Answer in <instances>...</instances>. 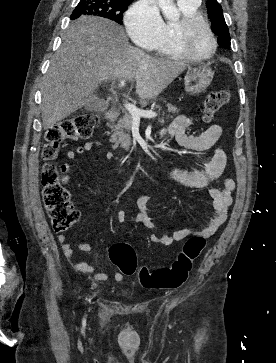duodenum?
I'll return each mask as SVG.
<instances>
[{
	"label": "duodenum",
	"mask_w": 276,
	"mask_h": 363,
	"mask_svg": "<svg viewBox=\"0 0 276 363\" xmlns=\"http://www.w3.org/2000/svg\"><path fill=\"white\" fill-rule=\"evenodd\" d=\"M119 116V110L116 109V108H109L106 113H105V117L108 119V120H112V119H115ZM133 158H135V155H131V156H128L127 157V160L128 161H131Z\"/></svg>",
	"instance_id": "obj_1"
}]
</instances>
